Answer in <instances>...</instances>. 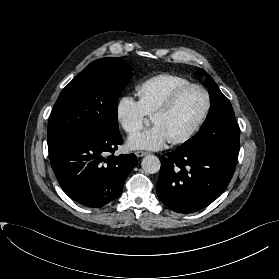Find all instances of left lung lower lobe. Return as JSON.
Returning <instances> with one entry per match:
<instances>
[{
  "label": "left lung lower lobe",
  "instance_id": "left-lung-lower-lobe-1",
  "mask_svg": "<svg viewBox=\"0 0 279 279\" xmlns=\"http://www.w3.org/2000/svg\"><path fill=\"white\" fill-rule=\"evenodd\" d=\"M234 166L235 159L221 153L187 154L176 149L161 164L157 195L172 211L196 212L225 191Z\"/></svg>",
  "mask_w": 279,
  "mask_h": 279
}]
</instances>
